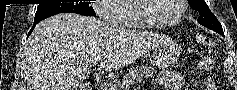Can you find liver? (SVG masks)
Returning a JSON list of instances; mask_svg holds the SVG:
<instances>
[{"mask_svg": "<svg viewBox=\"0 0 237 90\" xmlns=\"http://www.w3.org/2000/svg\"><path fill=\"white\" fill-rule=\"evenodd\" d=\"M162 36L119 28L79 14H57L35 26L25 46L27 90H83L92 62L98 72H112L133 64ZM153 42V44H152Z\"/></svg>", "mask_w": 237, "mask_h": 90, "instance_id": "obj_1", "label": "liver"}]
</instances>
